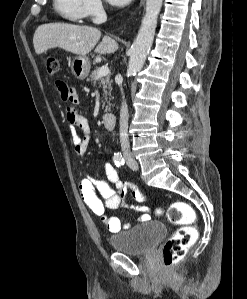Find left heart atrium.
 I'll return each mask as SVG.
<instances>
[{
	"instance_id": "1",
	"label": "left heart atrium",
	"mask_w": 247,
	"mask_h": 299,
	"mask_svg": "<svg viewBox=\"0 0 247 299\" xmlns=\"http://www.w3.org/2000/svg\"><path fill=\"white\" fill-rule=\"evenodd\" d=\"M114 6H124L128 4L131 0H108Z\"/></svg>"
}]
</instances>
